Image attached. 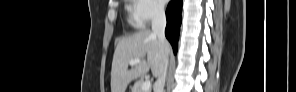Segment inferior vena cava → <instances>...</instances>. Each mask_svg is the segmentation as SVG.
Here are the masks:
<instances>
[{"instance_id": "602c4592", "label": "inferior vena cava", "mask_w": 296, "mask_h": 92, "mask_svg": "<svg viewBox=\"0 0 296 92\" xmlns=\"http://www.w3.org/2000/svg\"><path fill=\"white\" fill-rule=\"evenodd\" d=\"M166 16L164 7L162 5H156L153 9L152 15V33L158 37L161 47L164 49L167 44L165 38ZM168 67V54L165 52L163 57V71L158 76L154 85V92H164L165 80Z\"/></svg>"}]
</instances>
